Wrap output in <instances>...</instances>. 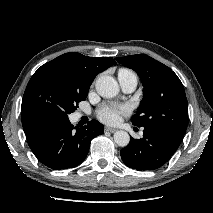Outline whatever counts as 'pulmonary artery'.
Segmentation results:
<instances>
[{"label":"pulmonary artery","instance_id":"1","mask_svg":"<svg viewBox=\"0 0 213 213\" xmlns=\"http://www.w3.org/2000/svg\"><path fill=\"white\" fill-rule=\"evenodd\" d=\"M118 81L125 93L133 92L138 84V78L134 73H119Z\"/></svg>","mask_w":213,"mask_h":213}]
</instances>
